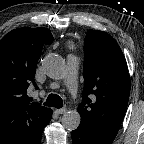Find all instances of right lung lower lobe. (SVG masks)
<instances>
[{
    "instance_id": "98d812e1",
    "label": "right lung lower lobe",
    "mask_w": 144,
    "mask_h": 144,
    "mask_svg": "<svg viewBox=\"0 0 144 144\" xmlns=\"http://www.w3.org/2000/svg\"><path fill=\"white\" fill-rule=\"evenodd\" d=\"M41 134L33 144H41Z\"/></svg>"
}]
</instances>
